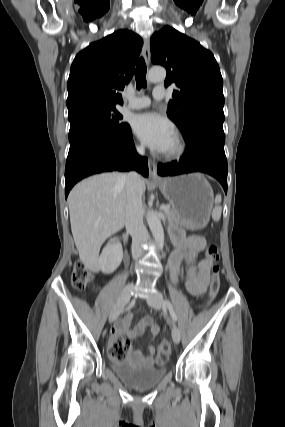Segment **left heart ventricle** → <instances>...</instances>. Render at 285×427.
Listing matches in <instances>:
<instances>
[{"instance_id": "1", "label": "left heart ventricle", "mask_w": 285, "mask_h": 427, "mask_svg": "<svg viewBox=\"0 0 285 427\" xmlns=\"http://www.w3.org/2000/svg\"><path fill=\"white\" fill-rule=\"evenodd\" d=\"M174 144H175V140L173 138L172 142L170 143L169 147L166 149L165 152L170 151L174 147Z\"/></svg>"}]
</instances>
